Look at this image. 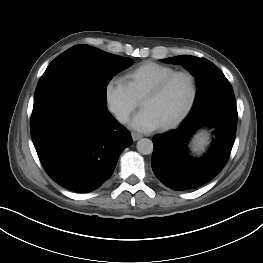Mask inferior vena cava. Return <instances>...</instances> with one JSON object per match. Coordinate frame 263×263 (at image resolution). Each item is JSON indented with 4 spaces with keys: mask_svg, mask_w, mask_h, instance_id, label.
Listing matches in <instances>:
<instances>
[{
    "mask_svg": "<svg viewBox=\"0 0 263 263\" xmlns=\"http://www.w3.org/2000/svg\"><path fill=\"white\" fill-rule=\"evenodd\" d=\"M126 119V117H124L122 120H125Z\"/></svg>",
    "mask_w": 263,
    "mask_h": 263,
    "instance_id": "602c4592",
    "label": "inferior vena cava"
}]
</instances>
